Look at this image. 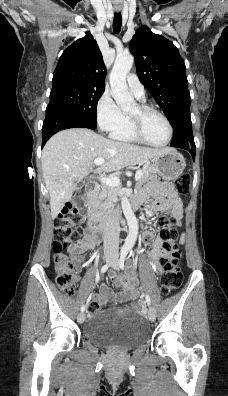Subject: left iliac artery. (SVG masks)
<instances>
[{"label":"left iliac artery","instance_id":"left-iliac-artery-1","mask_svg":"<svg viewBox=\"0 0 228 396\" xmlns=\"http://www.w3.org/2000/svg\"><path fill=\"white\" fill-rule=\"evenodd\" d=\"M126 256H127V252L121 253V257H120V260H119V266H120L121 269H124ZM145 299H146L147 305L150 306L151 305V300H150V297H149L148 294L145 295Z\"/></svg>","mask_w":228,"mask_h":396}]
</instances>
